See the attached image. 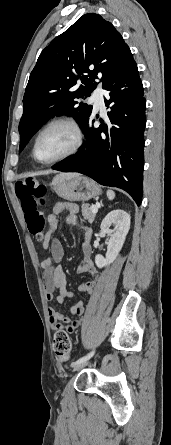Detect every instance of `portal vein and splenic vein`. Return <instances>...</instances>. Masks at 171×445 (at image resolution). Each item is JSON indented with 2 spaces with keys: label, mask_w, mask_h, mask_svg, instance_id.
I'll list each match as a JSON object with an SVG mask.
<instances>
[{
  "label": "portal vein and splenic vein",
  "mask_w": 171,
  "mask_h": 445,
  "mask_svg": "<svg viewBox=\"0 0 171 445\" xmlns=\"http://www.w3.org/2000/svg\"><path fill=\"white\" fill-rule=\"evenodd\" d=\"M91 211L96 214L97 211H98V205L97 204L96 205H92L91 206Z\"/></svg>",
  "instance_id": "1"
}]
</instances>
